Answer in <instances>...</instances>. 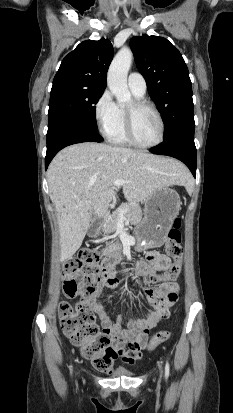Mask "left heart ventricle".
I'll use <instances>...</instances> for the list:
<instances>
[{"mask_svg": "<svg viewBox=\"0 0 233 413\" xmlns=\"http://www.w3.org/2000/svg\"><path fill=\"white\" fill-rule=\"evenodd\" d=\"M129 105V107H131ZM134 133L136 139L143 144L155 143L160 135V123L155 113L149 108L136 112L134 118Z\"/></svg>", "mask_w": 233, "mask_h": 413, "instance_id": "b2bd125f", "label": "left heart ventricle"}]
</instances>
